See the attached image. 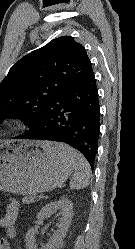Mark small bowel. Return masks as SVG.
I'll list each match as a JSON object with an SVG mask.
<instances>
[{"label": "small bowel", "mask_w": 135, "mask_h": 249, "mask_svg": "<svg viewBox=\"0 0 135 249\" xmlns=\"http://www.w3.org/2000/svg\"><path fill=\"white\" fill-rule=\"evenodd\" d=\"M18 214L19 204L16 201H11L6 208L5 215L0 221V224L7 228L10 236L14 234L13 224L17 220ZM0 249H7V243L4 239L0 241Z\"/></svg>", "instance_id": "1"}]
</instances>
